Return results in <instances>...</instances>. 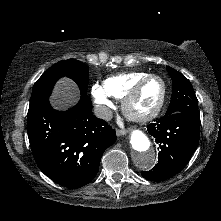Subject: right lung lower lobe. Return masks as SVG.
<instances>
[{
	"label": "right lung lower lobe",
	"mask_w": 221,
	"mask_h": 221,
	"mask_svg": "<svg viewBox=\"0 0 221 221\" xmlns=\"http://www.w3.org/2000/svg\"><path fill=\"white\" fill-rule=\"evenodd\" d=\"M28 137L41 171L67 188H80L97 174L103 152L116 133L92 113V102L81 92L77 105L57 111L49 100L28 116Z\"/></svg>",
	"instance_id": "98d812e1"
}]
</instances>
